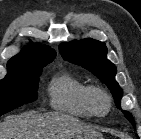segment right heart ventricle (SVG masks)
<instances>
[{"mask_svg": "<svg viewBox=\"0 0 141 139\" xmlns=\"http://www.w3.org/2000/svg\"><path fill=\"white\" fill-rule=\"evenodd\" d=\"M89 85L68 72L54 75L47 84L51 108L79 118L93 115L86 101Z\"/></svg>", "mask_w": 141, "mask_h": 139, "instance_id": "e07e8e85", "label": "right heart ventricle"}]
</instances>
